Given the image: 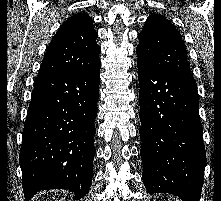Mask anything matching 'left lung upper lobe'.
I'll use <instances>...</instances> for the list:
<instances>
[{
    "label": "left lung upper lobe",
    "instance_id": "obj_1",
    "mask_svg": "<svg viewBox=\"0 0 221 201\" xmlns=\"http://www.w3.org/2000/svg\"><path fill=\"white\" fill-rule=\"evenodd\" d=\"M138 38V61L154 70L195 81L181 34L166 18L158 14L150 15Z\"/></svg>",
    "mask_w": 221,
    "mask_h": 201
}]
</instances>
